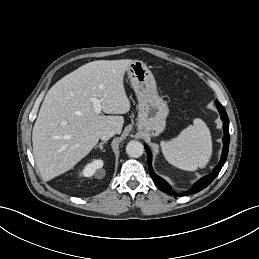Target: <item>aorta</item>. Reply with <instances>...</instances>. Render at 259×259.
I'll return each mask as SVG.
<instances>
[{"instance_id": "obj_1", "label": "aorta", "mask_w": 259, "mask_h": 259, "mask_svg": "<svg viewBox=\"0 0 259 259\" xmlns=\"http://www.w3.org/2000/svg\"><path fill=\"white\" fill-rule=\"evenodd\" d=\"M126 153L133 158H138L144 153V146L139 141H130L126 146Z\"/></svg>"}]
</instances>
